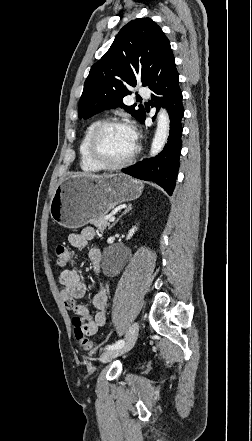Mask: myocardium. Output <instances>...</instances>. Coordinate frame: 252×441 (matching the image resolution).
<instances>
[{"label": "myocardium", "mask_w": 252, "mask_h": 441, "mask_svg": "<svg viewBox=\"0 0 252 441\" xmlns=\"http://www.w3.org/2000/svg\"><path fill=\"white\" fill-rule=\"evenodd\" d=\"M110 126L128 127L131 129V131L135 135L134 149L125 159H123L122 161L117 162V163H110V162L105 161L98 154V151H97V141H98L99 136L106 128H108ZM138 152H139V144L136 141V134H135L133 127L126 120L119 119V118H112V119H106V120L100 121L96 125V127L93 129L91 136H90V139H89V142H88V154H89L90 159L94 163L99 165L101 168L107 169V170H117V169H122V168L126 167L127 165H129L133 161V159L136 157Z\"/></svg>", "instance_id": "f54148a6"}]
</instances>
